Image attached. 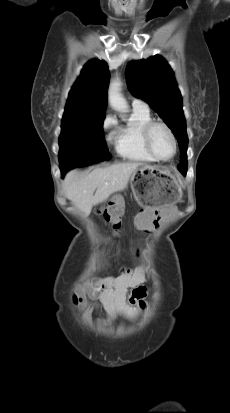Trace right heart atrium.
Listing matches in <instances>:
<instances>
[{
    "label": "right heart atrium",
    "instance_id": "1",
    "mask_svg": "<svg viewBox=\"0 0 230 413\" xmlns=\"http://www.w3.org/2000/svg\"><path fill=\"white\" fill-rule=\"evenodd\" d=\"M116 126V120L113 116L107 115L102 123V129L105 132V139L107 142H111L114 139Z\"/></svg>",
    "mask_w": 230,
    "mask_h": 413
}]
</instances>
